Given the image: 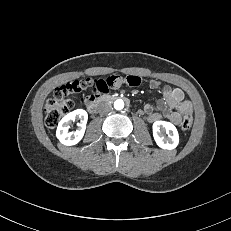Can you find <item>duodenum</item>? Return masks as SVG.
<instances>
[{
    "instance_id": "410a0bca",
    "label": "duodenum",
    "mask_w": 231,
    "mask_h": 231,
    "mask_svg": "<svg viewBox=\"0 0 231 231\" xmlns=\"http://www.w3.org/2000/svg\"><path fill=\"white\" fill-rule=\"evenodd\" d=\"M116 98H117L116 96L111 95V94L100 95V96L92 99V101L90 103H88L87 109L90 113H95L100 105H102L106 102H110Z\"/></svg>"
}]
</instances>
